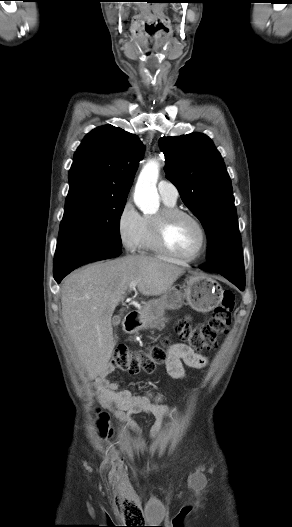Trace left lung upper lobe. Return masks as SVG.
<instances>
[{"instance_id": "left-lung-upper-lobe-1", "label": "left lung upper lobe", "mask_w": 292, "mask_h": 527, "mask_svg": "<svg viewBox=\"0 0 292 527\" xmlns=\"http://www.w3.org/2000/svg\"><path fill=\"white\" fill-rule=\"evenodd\" d=\"M167 178L207 233V260L242 258V243L230 177L223 159L205 134L162 137Z\"/></svg>"}]
</instances>
